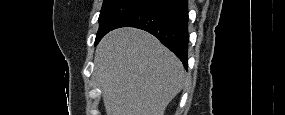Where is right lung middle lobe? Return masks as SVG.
<instances>
[{"label": "right lung middle lobe", "instance_id": "obj_1", "mask_svg": "<svg viewBox=\"0 0 285 115\" xmlns=\"http://www.w3.org/2000/svg\"><path fill=\"white\" fill-rule=\"evenodd\" d=\"M152 0H104L99 16V30L96 35L95 45L123 18L145 6Z\"/></svg>", "mask_w": 285, "mask_h": 115}]
</instances>
